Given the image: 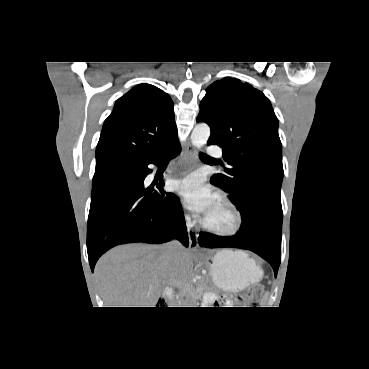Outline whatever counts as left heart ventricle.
Instances as JSON below:
<instances>
[{
  "label": "left heart ventricle",
  "instance_id": "obj_1",
  "mask_svg": "<svg viewBox=\"0 0 369 369\" xmlns=\"http://www.w3.org/2000/svg\"><path fill=\"white\" fill-rule=\"evenodd\" d=\"M203 218L208 224L219 229H227L232 224L230 212L217 200Z\"/></svg>",
  "mask_w": 369,
  "mask_h": 369
}]
</instances>
